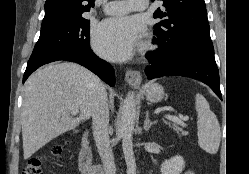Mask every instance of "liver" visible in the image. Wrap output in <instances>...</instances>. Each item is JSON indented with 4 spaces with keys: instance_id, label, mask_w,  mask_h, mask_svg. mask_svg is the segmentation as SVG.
<instances>
[{
    "instance_id": "obj_1",
    "label": "liver",
    "mask_w": 249,
    "mask_h": 174,
    "mask_svg": "<svg viewBox=\"0 0 249 174\" xmlns=\"http://www.w3.org/2000/svg\"><path fill=\"white\" fill-rule=\"evenodd\" d=\"M101 84L91 71L71 62L52 63L32 74L24 86L21 113L24 159L88 120Z\"/></svg>"
}]
</instances>
